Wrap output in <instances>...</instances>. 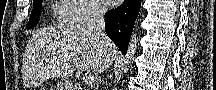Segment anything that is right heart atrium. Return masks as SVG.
I'll return each instance as SVG.
<instances>
[{
    "label": "right heart atrium",
    "instance_id": "right-heart-atrium-1",
    "mask_svg": "<svg viewBox=\"0 0 216 90\" xmlns=\"http://www.w3.org/2000/svg\"><path fill=\"white\" fill-rule=\"evenodd\" d=\"M63 3H71L78 6L74 20H95L102 13V8L97 5L95 0H63Z\"/></svg>",
    "mask_w": 216,
    "mask_h": 90
}]
</instances>
